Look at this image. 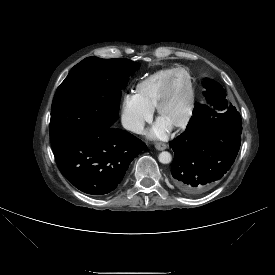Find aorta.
I'll use <instances>...</instances> for the list:
<instances>
[{
  "label": "aorta",
  "instance_id": "aorta-1",
  "mask_svg": "<svg viewBox=\"0 0 275 275\" xmlns=\"http://www.w3.org/2000/svg\"><path fill=\"white\" fill-rule=\"evenodd\" d=\"M158 159L162 164H169L172 161V156L169 152L163 151L159 154Z\"/></svg>",
  "mask_w": 275,
  "mask_h": 275
}]
</instances>
